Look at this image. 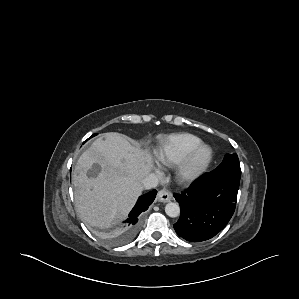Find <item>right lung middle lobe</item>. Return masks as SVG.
Returning <instances> with one entry per match:
<instances>
[{
    "label": "right lung middle lobe",
    "instance_id": "right-lung-middle-lobe-1",
    "mask_svg": "<svg viewBox=\"0 0 299 299\" xmlns=\"http://www.w3.org/2000/svg\"><path fill=\"white\" fill-rule=\"evenodd\" d=\"M95 135H96V134H93L91 137H93V136H95ZM91 137H90V138H91Z\"/></svg>",
    "mask_w": 299,
    "mask_h": 299
}]
</instances>
